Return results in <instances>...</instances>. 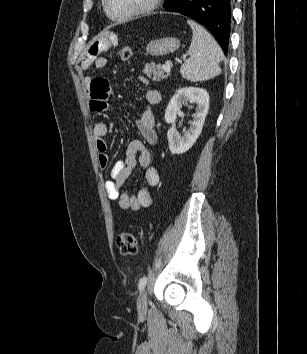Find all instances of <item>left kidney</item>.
I'll return each mask as SVG.
<instances>
[{
	"label": "left kidney",
	"instance_id": "obj_1",
	"mask_svg": "<svg viewBox=\"0 0 307 354\" xmlns=\"http://www.w3.org/2000/svg\"><path fill=\"white\" fill-rule=\"evenodd\" d=\"M192 103L196 105L195 113L192 114V121L183 135L175 128V121L178 111L183 104ZM209 109V94L205 89L196 87H184L176 91L172 96L166 111L165 121L172 124L167 132L169 149L172 154H182L188 151L202 132V127Z\"/></svg>",
	"mask_w": 307,
	"mask_h": 354
}]
</instances>
